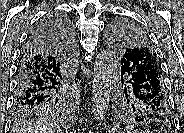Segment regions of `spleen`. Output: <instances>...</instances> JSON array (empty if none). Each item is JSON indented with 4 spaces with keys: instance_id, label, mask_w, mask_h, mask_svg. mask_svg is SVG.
<instances>
[{
    "instance_id": "1",
    "label": "spleen",
    "mask_w": 184,
    "mask_h": 133,
    "mask_svg": "<svg viewBox=\"0 0 184 133\" xmlns=\"http://www.w3.org/2000/svg\"><path fill=\"white\" fill-rule=\"evenodd\" d=\"M133 133H139V132H137V131H133ZM140 133H142V131H141Z\"/></svg>"
}]
</instances>
